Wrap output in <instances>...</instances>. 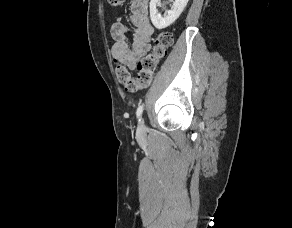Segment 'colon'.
Listing matches in <instances>:
<instances>
[{
  "instance_id": "colon-1",
  "label": "colon",
  "mask_w": 292,
  "mask_h": 228,
  "mask_svg": "<svg viewBox=\"0 0 292 228\" xmlns=\"http://www.w3.org/2000/svg\"><path fill=\"white\" fill-rule=\"evenodd\" d=\"M123 2L124 0H108V3L114 7L122 5ZM172 42L173 39L170 33H159L155 38L152 51L139 60L136 78L132 77L125 67L117 66V78L126 93L137 92L151 84L154 72L159 62L166 57Z\"/></svg>"
}]
</instances>
